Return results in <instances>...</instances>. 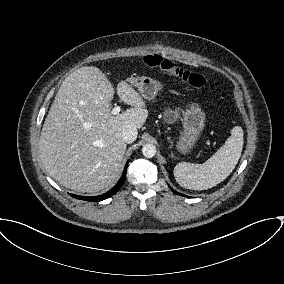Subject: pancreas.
<instances>
[{
	"mask_svg": "<svg viewBox=\"0 0 284 284\" xmlns=\"http://www.w3.org/2000/svg\"><path fill=\"white\" fill-rule=\"evenodd\" d=\"M169 116H171L172 118H168ZM165 117L167 118V121L169 123H172L177 117V111H166Z\"/></svg>",
	"mask_w": 284,
	"mask_h": 284,
	"instance_id": "1",
	"label": "pancreas"
}]
</instances>
